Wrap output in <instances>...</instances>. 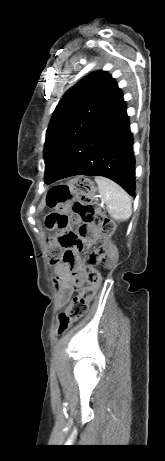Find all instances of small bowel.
I'll use <instances>...</instances> for the list:
<instances>
[{"mask_svg":"<svg viewBox=\"0 0 165 461\" xmlns=\"http://www.w3.org/2000/svg\"><path fill=\"white\" fill-rule=\"evenodd\" d=\"M98 237L96 225H73V229H57V233H53L56 249L67 250L60 251V263L55 266L54 282L60 303H65L73 290L82 287L84 275L81 266L84 261L78 251L90 248Z\"/></svg>","mask_w":165,"mask_h":461,"instance_id":"small-bowel-1","label":"small bowel"}]
</instances>
